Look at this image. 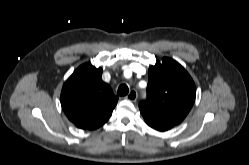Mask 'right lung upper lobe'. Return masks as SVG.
<instances>
[{"instance_id":"cb5924a9","label":"right lung upper lobe","mask_w":249,"mask_h":165,"mask_svg":"<svg viewBox=\"0 0 249 165\" xmlns=\"http://www.w3.org/2000/svg\"><path fill=\"white\" fill-rule=\"evenodd\" d=\"M101 75L102 68L85 63L63 85L62 109L78 128L93 130L102 126L117 104L118 97Z\"/></svg>"}]
</instances>
